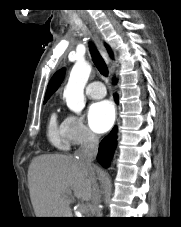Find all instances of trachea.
Wrapping results in <instances>:
<instances>
[{"label":"trachea","instance_id":"3493384b","mask_svg":"<svg viewBox=\"0 0 181 227\" xmlns=\"http://www.w3.org/2000/svg\"><path fill=\"white\" fill-rule=\"evenodd\" d=\"M89 47H90V53H91V57L92 60L94 62V64L96 65L98 71L103 75V76H108V67L105 63V61L103 60V58L101 57L100 53L98 52L97 48L95 47L93 42L89 43Z\"/></svg>","mask_w":181,"mask_h":227}]
</instances>
